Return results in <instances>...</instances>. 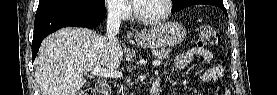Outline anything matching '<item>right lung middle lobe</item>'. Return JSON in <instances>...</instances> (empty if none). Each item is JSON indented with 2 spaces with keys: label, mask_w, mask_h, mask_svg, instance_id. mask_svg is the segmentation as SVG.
I'll list each match as a JSON object with an SVG mask.
<instances>
[{
  "label": "right lung middle lobe",
  "mask_w": 277,
  "mask_h": 95,
  "mask_svg": "<svg viewBox=\"0 0 277 95\" xmlns=\"http://www.w3.org/2000/svg\"><path fill=\"white\" fill-rule=\"evenodd\" d=\"M104 3L105 0H39L36 13L53 9H94Z\"/></svg>",
  "instance_id": "1"
}]
</instances>
